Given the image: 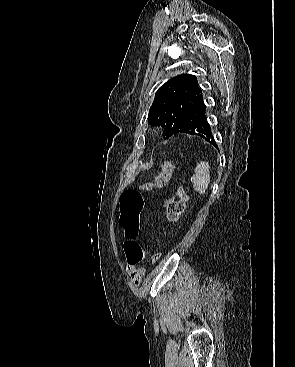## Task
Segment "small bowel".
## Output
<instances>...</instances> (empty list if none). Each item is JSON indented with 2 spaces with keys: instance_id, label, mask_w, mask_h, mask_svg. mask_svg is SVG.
Wrapping results in <instances>:
<instances>
[{
  "instance_id": "1",
  "label": "small bowel",
  "mask_w": 295,
  "mask_h": 367,
  "mask_svg": "<svg viewBox=\"0 0 295 367\" xmlns=\"http://www.w3.org/2000/svg\"><path fill=\"white\" fill-rule=\"evenodd\" d=\"M126 271L133 285L139 286L144 278L145 269L143 267H139L137 264H131L127 261Z\"/></svg>"
}]
</instances>
